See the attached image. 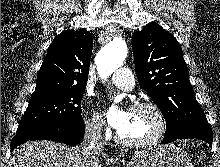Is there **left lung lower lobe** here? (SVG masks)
<instances>
[{
	"label": "left lung lower lobe",
	"instance_id": "obj_1",
	"mask_svg": "<svg viewBox=\"0 0 220 167\" xmlns=\"http://www.w3.org/2000/svg\"><path fill=\"white\" fill-rule=\"evenodd\" d=\"M188 138H198L207 142L210 146H212L213 137H212V130L210 128V125L196 126L186 130L179 136L165 137L161 142V144H167L174 142L178 139H188Z\"/></svg>",
	"mask_w": 220,
	"mask_h": 167
}]
</instances>
